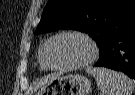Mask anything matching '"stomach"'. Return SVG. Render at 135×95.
Instances as JSON below:
<instances>
[{
  "label": "stomach",
  "instance_id": "1",
  "mask_svg": "<svg viewBox=\"0 0 135 95\" xmlns=\"http://www.w3.org/2000/svg\"><path fill=\"white\" fill-rule=\"evenodd\" d=\"M91 81L80 74L57 76L51 79L35 95H88Z\"/></svg>",
  "mask_w": 135,
  "mask_h": 95
}]
</instances>
